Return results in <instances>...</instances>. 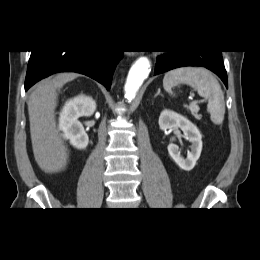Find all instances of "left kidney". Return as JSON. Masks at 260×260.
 Here are the masks:
<instances>
[{
    "label": "left kidney",
    "mask_w": 260,
    "mask_h": 260,
    "mask_svg": "<svg viewBox=\"0 0 260 260\" xmlns=\"http://www.w3.org/2000/svg\"><path fill=\"white\" fill-rule=\"evenodd\" d=\"M158 123L163 131L179 127L184 133V138L191 142V151L188 152L186 159L181 156L178 146L173 143L168 145V152L181 169L185 171L192 170L202 151V135L200 131L187 118L167 109L161 112Z\"/></svg>",
    "instance_id": "1"
}]
</instances>
